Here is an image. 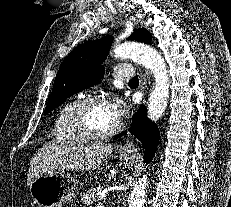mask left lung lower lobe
I'll list each match as a JSON object with an SVG mask.
<instances>
[{"label": "left lung lower lobe", "instance_id": "1", "mask_svg": "<svg viewBox=\"0 0 231 207\" xmlns=\"http://www.w3.org/2000/svg\"><path fill=\"white\" fill-rule=\"evenodd\" d=\"M130 132L142 142L145 149V162H151L158 145L160 133L156 124L147 118L145 107L139 108L134 115ZM122 135L123 133L116 136V138Z\"/></svg>", "mask_w": 231, "mask_h": 207}]
</instances>
